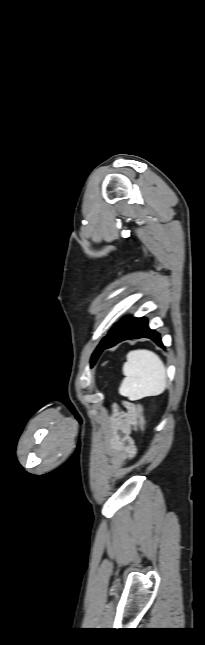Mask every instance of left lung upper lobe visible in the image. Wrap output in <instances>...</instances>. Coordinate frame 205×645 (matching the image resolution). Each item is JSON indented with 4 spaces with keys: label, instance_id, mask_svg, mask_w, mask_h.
<instances>
[{
    "label": "left lung upper lobe",
    "instance_id": "left-lung-upper-lobe-1",
    "mask_svg": "<svg viewBox=\"0 0 205 645\" xmlns=\"http://www.w3.org/2000/svg\"><path fill=\"white\" fill-rule=\"evenodd\" d=\"M99 345H100V344H99ZM98 350H99V346L97 347V349H96V350H95V352L93 353L91 363H92V362L94 361V359L96 358V356H97V354H98Z\"/></svg>",
    "mask_w": 205,
    "mask_h": 645
}]
</instances>
